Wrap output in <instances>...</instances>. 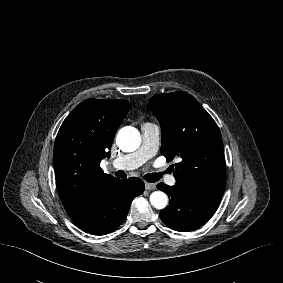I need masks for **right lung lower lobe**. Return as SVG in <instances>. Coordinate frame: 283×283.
<instances>
[{
  "instance_id": "98d812e1",
  "label": "right lung lower lobe",
  "mask_w": 283,
  "mask_h": 283,
  "mask_svg": "<svg viewBox=\"0 0 283 283\" xmlns=\"http://www.w3.org/2000/svg\"><path fill=\"white\" fill-rule=\"evenodd\" d=\"M143 191L144 183L141 179H119L106 187L90 206L72 220L87 233L108 234L125 220L132 200Z\"/></svg>"
}]
</instances>
